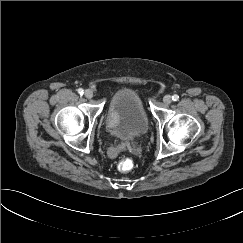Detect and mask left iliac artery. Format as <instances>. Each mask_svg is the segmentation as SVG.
<instances>
[{"instance_id":"1","label":"left iliac artery","mask_w":243,"mask_h":243,"mask_svg":"<svg viewBox=\"0 0 243 243\" xmlns=\"http://www.w3.org/2000/svg\"><path fill=\"white\" fill-rule=\"evenodd\" d=\"M172 100L173 101H178L179 100V96L177 94L172 96Z\"/></svg>"}]
</instances>
